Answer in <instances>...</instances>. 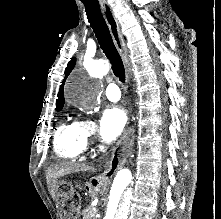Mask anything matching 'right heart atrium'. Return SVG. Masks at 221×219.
Wrapping results in <instances>:
<instances>
[{
    "instance_id": "d8ad5b80",
    "label": "right heart atrium",
    "mask_w": 221,
    "mask_h": 219,
    "mask_svg": "<svg viewBox=\"0 0 221 219\" xmlns=\"http://www.w3.org/2000/svg\"><path fill=\"white\" fill-rule=\"evenodd\" d=\"M82 138L87 145L95 136L96 133V124L91 119L85 118L79 122Z\"/></svg>"
}]
</instances>
